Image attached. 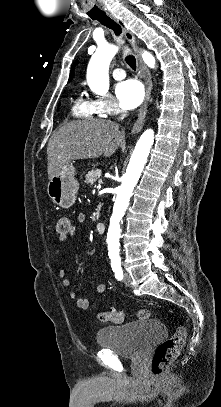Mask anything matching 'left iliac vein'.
Instances as JSON below:
<instances>
[{"mask_svg":"<svg viewBox=\"0 0 221 407\" xmlns=\"http://www.w3.org/2000/svg\"><path fill=\"white\" fill-rule=\"evenodd\" d=\"M123 282L126 286H130L131 284V276L129 273H124Z\"/></svg>","mask_w":221,"mask_h":407,"instance_id":"obj_1","label":"left iliac vein"}]
</instances>
